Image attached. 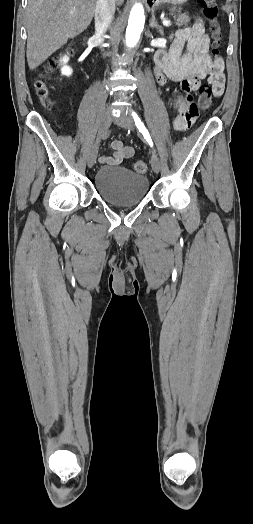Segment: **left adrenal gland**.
<instances>
[{
	"label": "left adrenal gland",
	"instance_id": "left-adrenal-gland-1",
	"mask_svg": "<svg viewBox=\"0 0 253 524\" xmlns=\"http://www.w3.org/2000/svg\"><path fill=\"white\" fill-rule=\"evenodd\" d=\"M150 27L151 28H156L158 30V32L163 35V27L158 25L156 19H155V14L154 12H152V17L150 19Z\"/></svg>",
	"mask_w": 253,
	"mask_h": 524
}]
</instances>
